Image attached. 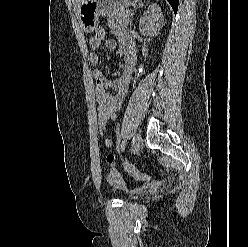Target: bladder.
<instances>
[{
  "instance_id": "obj_1",
  "label": "bladder",
  "mask_w": 248,
  "mask_h": 247,
  "mask_svg": "<svg viewBox=\"0 0 248 247\" xmlns=\"http://www.w3.org/2000/svg\"><path fill=\"white\" fill-rule=\"evenodd\" d=\"M110 184L116 191L125 192L128 195L135 194L138 192L137 189L129 188L125 178L120 172H114L110 174Z\"/></svg>"
}]
</instances>
